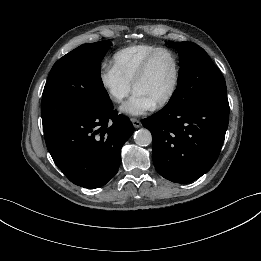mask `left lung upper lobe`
Returning <instances> with one entry per match:
<instances>
[{"mask_svg":"<svg viewBox=\"0 0 261 261\" xmlns=\"http://www.w3.org/2000/svg\"><path fill=\"white\" fill-rule=\"evenodd\" d=\"M179 51L178 88L166 107L181 109L197 100L226 93L225 80L204 49L192 42H169Z\"/></svg>","mask_w":261,"mask_h":261,"instance_id":"5c2ea615","label":"left lung upper lobe"}]
</instances>
